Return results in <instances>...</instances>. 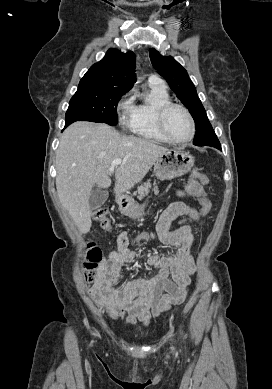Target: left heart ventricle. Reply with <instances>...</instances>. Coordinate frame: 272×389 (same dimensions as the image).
I'll list each match as a JSON object with an SVG mask.
<instances>
[{
  "instance_id": "obj_1",
  "label": "left heart ventricle",
  "mask_w": 272,
  "mask_h": 389,
  "mask_svg": "<svg viewBox=\"0 0 272 389\" xmlns=\"http://www.w3.org/2000/svg\"><path fill=\"white\" fill-rule=\"evenodd\" d=\"M168 132L175 139H186L191 133V126L188 117L179 108L170 110L166 118Z\"/></svg>"
}]
</instances>
